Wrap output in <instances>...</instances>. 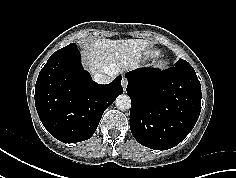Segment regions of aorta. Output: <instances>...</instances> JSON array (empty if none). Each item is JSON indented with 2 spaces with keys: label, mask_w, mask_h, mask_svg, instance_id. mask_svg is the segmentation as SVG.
Listing matches in <instances>:
<instances>
[{
  "label": "aorta",
  "mask_w": 236,
  "mask_h": 178,
  "mask_svg": "<svg viewBox=\"0 0 236 178\" xmlns=\"http://www.w3.org/2000/svg\"><path fill=\"white\" fill-rule=\"evenodd\" d=\"M115 104L119 110H127L131 107V99L128 95L122 94L116 98Z\"/></svg>",
  "instance_id": "1"
}]
</instances>
